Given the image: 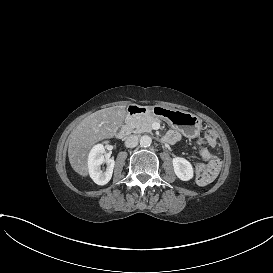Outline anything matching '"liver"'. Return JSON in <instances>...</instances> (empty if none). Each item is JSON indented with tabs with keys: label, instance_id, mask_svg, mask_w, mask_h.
<instances>
[{
	"label": "liver",
	"instance_id": "6515ba94",
	"mask_svg": "<svg viewBox=\"0 0 273 273\" xmlns=\"http://www.w3.org/2000/svg\"><path fill=\"white\" fill-rule=\"evenodd\" d=\"M127 115L126 106H113L98 110L84 118L71 133L68 157L74 171L88 175L87 156L98 141L116 135Z\"/></svg>",
	"mask_w": 273,
	"mask_h": 273
}]
</instances>
